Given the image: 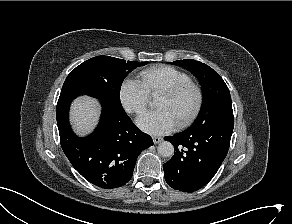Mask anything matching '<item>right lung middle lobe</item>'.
I'll use <instances>...</instances> for the list:
<instances>
[{
    "mask_svg": "<svg viewBox=\"0 0 292 224\" xmlns=\"http://www.w3.org/2000/svg\"><path fill=\"white\" fill-rule=\"evenodd\" d=\"M146 64L147 62H126L109 56L91 58L71 71L63 84L61 94H86L116 108H122L120 88L123 80L136 67Z\"/></svg>",
    "mask_w": 292,
    "mask_h": 224,
    "instance_id": "1",
    "label": "right lung middle lobe"
}]
</instances>
